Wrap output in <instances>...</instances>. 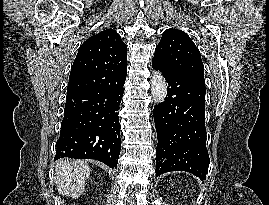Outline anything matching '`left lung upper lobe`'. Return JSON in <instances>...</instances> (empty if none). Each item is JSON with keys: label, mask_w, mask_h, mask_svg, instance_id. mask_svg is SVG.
<instances>
[{"label": "left lung upper lobe", "mask_w": 269, "mask_h": 205, "mask_svg": "<svg viewBox=\"0 0 269 205\" xmlns=\"http://www.w3.org/2000/svg\"><path fill=\"white\" fill-rule=\"evenodd\" d=\"M153 60L171 73L204 77L201 54L190 37L181 30L164 31Z\"/></svg>", "instance_id": "1"}]
</instances>
